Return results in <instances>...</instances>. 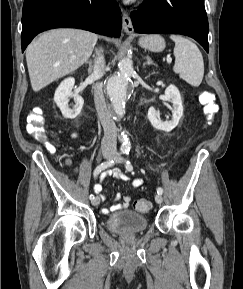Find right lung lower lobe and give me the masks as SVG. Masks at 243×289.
<instances>
[{
	"mask_svg": "<svg viewBox=\"0 0 243 289\" xmlns=\"http://www.w3.org/2000/svg\"><path fill=\"white\" fill-rule=\"evenodd\" d=\"M121 25L116 0H24L22 52L38 33L48 29L80 28L119 37Z\"/></svg>",
	"mask_w": 243,
	"mask_h": 289,
	"instance_id": "right-lung-lower-lobe-1",
	"label": "right lung lower lobe"
}]
</instances>
